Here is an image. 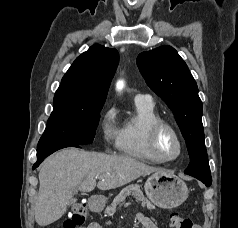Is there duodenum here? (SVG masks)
<instances>
[{
  "instance_id": "obj_1",
  "label": "duodenum",
  "mask_w": 238,
  "mask_h": 228,
  "mask_svg": "<svg viewBox=\"0 0 238 228\" xmlns=\"http://www.w3.org/2000/svg\"><path fill=\"white\" fill-rule=\"evenodd\" d=\"M106 205V198L104 196L96 195L90 201V207L95 211H100Z\"/></svg>"
}]
</instances>
